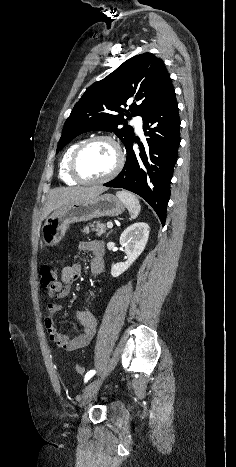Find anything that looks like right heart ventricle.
<instances>
[{"mask_svg":"<svg viewBox=\"0 0 236 467\" xmlns=\"http://www.w3.org/2000/svg\"><path fill=\"white\" fill-rule=\"evenodd\" d=\"M81 142H76V143H73L72 145H70L67 150L64 152L61 160H60V163H59V177L60 179L68 184V185H75L77 184L78 182L73 179L70 174H69V171H68V166H69V161H70V158H71V155L73 153V151L76 149V147L80 144Z\"/></svg>","mask_w":236,"mask_h":467,"instance_id":"obj_1","label":"right heart ventricle"}]
</instances>
